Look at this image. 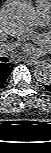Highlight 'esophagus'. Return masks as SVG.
Listing matches in <instances>:
<instances>
[{"label":"esophagus","instance_id":"esophagus-1","mask_svg":"<svg viewBox=\"0 0 51 153\" xmlns=\"http://www.w3.org/2000/svg\"><path fill=\"white\" fill-rule=\"evenodd\" d=\"M24 62L28 65H36L38 64V61L32 60V59H25Z\"/></svg>","mask_w":51,"mask_h":153}]
</instances>
